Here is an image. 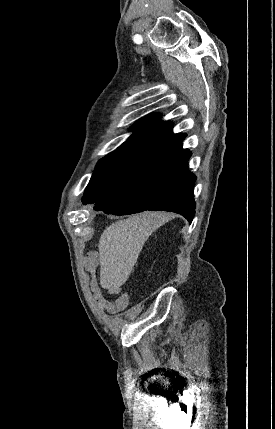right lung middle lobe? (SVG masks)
I'll return each instance as SVG.
<instances>
[{
    "label": "right lung middle lobe",
    "mask_w": 275,
    "mask_h": 429,
    "mask_svg": "<svg viewBox=\"0 0 275 429\" xmlns=\"http://www.w3.org/2000/svg\"><path fill=\"white\" fill-rule=\"evenodd\" d=\"M150 159L114 151L97 163L92 178L85 189L82 201L84 204L96 201L110 195L133 177L141 166Z\"/></svg>",
    "instance_id": "obj_1"
}]
</instances>
